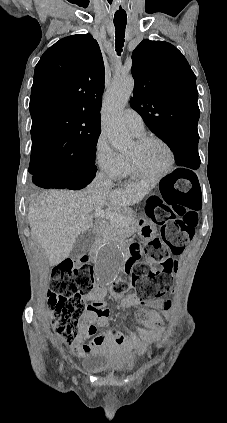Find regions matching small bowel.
Masks as SVG:
<instances>
[{"label": "small bowel", "mask_w": 227, "mask_h": 423, "mask_svg": "<svg viewBox=\"0 0 227 423\" xmlns=\"http://www.w3.org/2000/svg\"><path fill=\"white\" fill-rule=\"evenodd\" d=\"M105 294L106 289L102 285H98L92 293L86 296L88 304L81 321L80 331L71 343L73 352L79 357H86L99 350L114 351L119 347L143 350V345L139 342L136 333L130 329H125L127 335L112 329L96 334V326L104 327L109 322L110 311L106 308L103 300ZM113 296L123 308L135 309L146 304L163 311H169L171 308V301L165 299L144 302L136 294L121 296L113 293ZM127 315L128 313L122 318L124 319ZM161 324V317L157 313H151L146 322V327L155 329ZM88 337H92V339L85 343V339Z\"/></svg>", "instance_id": "small-bowel-1"}]
</instances>
